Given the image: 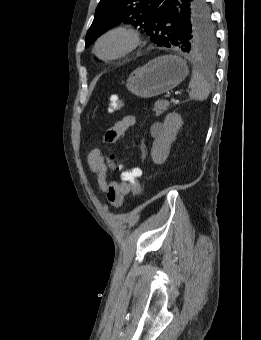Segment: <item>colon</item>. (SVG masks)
Wrapping results in <instances>:
<instances>
[{"label":"colon","mask_w":261,"mask_h":340,"mask_svg":"<svg viewBox=\"0 0 261 340\" xmlns=\"http://www.w3.org/2000/svg\"><path fill=\"white\" fill-rule=\"evenodd\" d=\"M123 106V101L117 97L116 95H112L110 97L108 109L110 112H115L118 111L122 108ZM110 159L113 161L115 159L114 155L110 156ZM117 170L121 169V165L116 166ZM140 170L137 168H132V169H126L122 172L121 178L129 184L131 191L134 192L137 195H141L144 192V187L139 181L140 177Z\"/></svg>","instance_id":"1"}]
</instances>
